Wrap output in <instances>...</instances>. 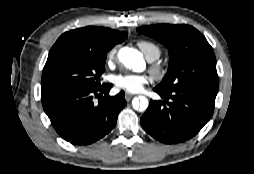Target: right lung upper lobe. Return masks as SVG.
Masks as SVG:
<instances>
[{"instance_id": "cb5924a9", "label": "right lung upper lobe", "mask_w": 254, "mask_h": 174, "mask_svg": "<svg viewBox=\"0 0 254 174\" xmlns=\"http://www.w3.org/2000/svg\"><path fill=\"white\" fill-rule=\"evenodd\" d=\"M126 37V32L89 26L62 34L55 44L62 42L76 43L97 53H107L113 46L123 42Z\"/></svg>"}]
</instances>
